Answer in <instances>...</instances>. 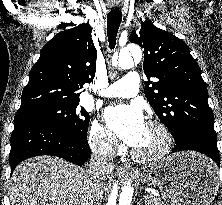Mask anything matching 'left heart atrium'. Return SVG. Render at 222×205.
Instances as JSON below:
<instances>
[{"label":"left heart atrium","mask_w":222,"mask_h":205,"mask_svg":"<svg viewBox=\"0 0 222 205\" xmlns=\"http://www.w3.org/2000/svg\"><path fill=\"white\" fill-rule=\"evenodd\" d=\"M105 118L117 136L132 147L140 141L147 125L137 105L109 107L105 111Z\"/></svg>","instance_id":"39dd6f15"}]
</instances>
